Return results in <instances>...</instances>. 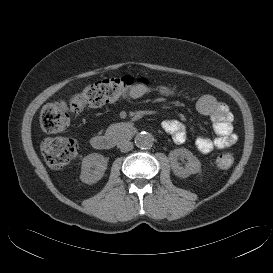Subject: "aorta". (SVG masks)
I'll use <instances>...</instances> for the list:
<instances>
[{
	"instance_id": "762f6f07",
	"label": "aorta",
	"mask_w": 273,
	"mask_h": 273,
	"mask_svg": "<svg viewBox=\"0 0 273 273\" xmlns=\"http://www.w3.org/2000/svg\"><path fill=\"white\" fill-rule=\"evenodd\" d=\"M154 138L152 134L142 131L135 136V144L141 149H148L152 147Z\"/></svg>"
}]
</instances>
